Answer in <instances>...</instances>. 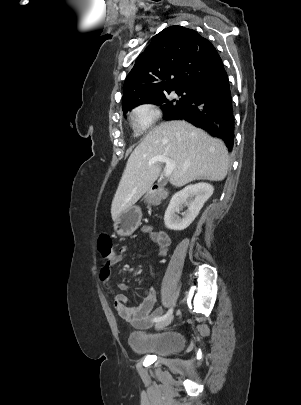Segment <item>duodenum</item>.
Segmentation results:
<instances>
[{
  "label": "duodenum",
  "instance_id": "obj_1",
  "mask_svg": "<svg viewBox=\"0 0 301 405\" xmlns=\"http://www.w3.org/2000/svg\"><path fill=\"white\" fill-rule=\"evenodd\" d=\"M165 195L166 191L159 186H154L151 190H146L145 197L147 199V205L162 208L164 206L163 197Z\"/></svg>",
  "mask_w": 301,
  "mask_h": 405
}]
</instances>
